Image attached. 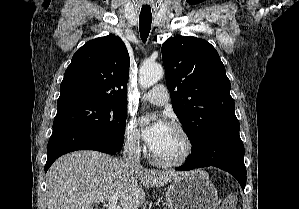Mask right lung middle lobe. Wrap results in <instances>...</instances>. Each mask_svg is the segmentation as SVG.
<instances>
[{
    "label": "right lung middle lobe",
    "mask_w": 299,
    "mask_h": 209,
    "mask_svg": "<svg viewBox=\"0 0 299 209\" xmlns=\"http://www.w3.org/2000/svg\"><path fill=\"white\" fill-rule=\"evenodd\" d=\"M127 116L126 104L78 101L57 104L53 125L69 123L93 132L123 136Z\"/></svg>",
    "instance_id": "right-lung-middle-lobe-1"
}]
</instances>
